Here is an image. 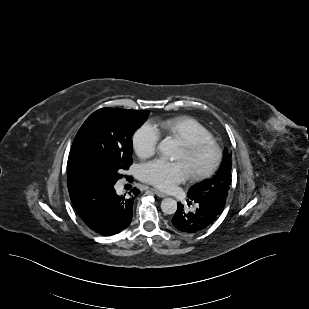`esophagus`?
Returning <instances> with one entry per match:
<instances>
[{
  "label": "esophagus",
  "mask_w": 309,
  "mask_h": 309,
  "mask_svg": "<svg viewBox=\"0 0 309 309\" xmlns=\"http://www.w3.org/2000/svg\"><path fill=\"white\" fill-rule=\"evenodd\" d=\"M151 190L160 198L166 197V195L164 193H162L161 191H158L156 189H151Z\"/></svg>",
  "instance_id": "34e87169"
}]
</instances>
